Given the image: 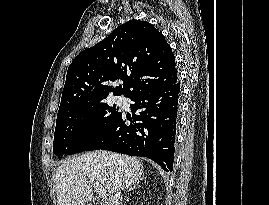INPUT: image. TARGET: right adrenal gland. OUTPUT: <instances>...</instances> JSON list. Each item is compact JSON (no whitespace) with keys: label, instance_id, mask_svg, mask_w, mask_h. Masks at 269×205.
Segmentation results:
<instances>
[{"label":"right adrenal gland","instance_id":"right-adrenal-gland-1","mask_svg":"<svg viewBox=\"0 0 269 205\" xmlns=\"http://www.w3.org/2000/svg\"><path fill=\"white\" fill-rule=\"evenodd\" d=\"M140 180H145V177L143 176ZM140 180H138L135 184H133L132 186H130V188L128 189V191L134 190L137 188Z\"/></svg>","mask_w":269,"mask_h":205}]
</instances>
